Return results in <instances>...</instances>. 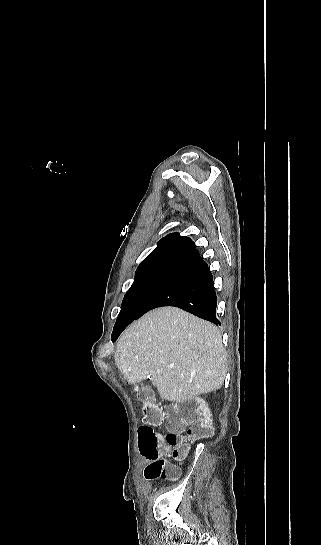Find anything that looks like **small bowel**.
Returning a JSON list of instances; mask_svg holds the SVG:
<instances>
[{
    "instance_id": "small-bowel-1",
    "label": "small bowel",
    "mask_w": 321,
    "mask_h": 545,
    "mask_svg": "<svg viewBox=\"0 0 321 545\" xmlns=\"http://www.w3.org/2000/svg\"><path fill=\"white\" fill-rule=\"evenodd\" d=\"M159 461H164V460H162L161 458H158V460H153L151 463H149V464L147 465V467L145 468V471H144V475H145V477H146L147 479H152V478H153L154 473H155V470H156V467H157V463H158ZM173 466H174V465H173ZM174 467H175V469L177 470V473H178V475H179V473H180L179 469H178L176 466H174ZM178 475H177V477H178Z\"/></svg>"
}]
</instances>
